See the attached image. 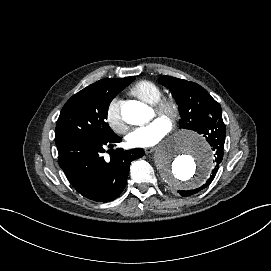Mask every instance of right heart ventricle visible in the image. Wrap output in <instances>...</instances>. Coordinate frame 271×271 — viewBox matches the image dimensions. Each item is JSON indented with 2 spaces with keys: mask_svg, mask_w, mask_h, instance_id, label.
Here are the masks:
<instances>
[{
  "mask_svg": "<svg viewBox=\"0 0 271 271\" xmlns=\"http://www.w3.org/2000/svg\"><path fill=\"white\" fill-rule=\"evenodd\" d=\"M131 94L149 104H156L162 97L163 91L161 87L151 80H141L135 83L131 89Z\"/></svg>",
  "mask_w": 271,
  "mask_h": 271,
  "instance_id": "right-heart-ventricle-1",
  "label": "right heart ventricle"
}]
</instances>
